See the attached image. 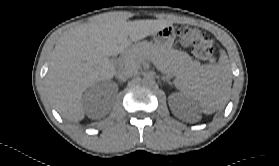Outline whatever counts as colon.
Returning a JSON list of instances; mask_svg holds the SVG:
<instances>
[{"label":"colon","mask_w":279,"mask_h":166,"mask_svg":"<svg viewBox=\"0 0 279 166\" xmlns=\"http://www.w3.org/2000/svg\"><path fill=\"white\" fill-rule=\"evenodd\" d=\"M178 36L181 43L191 50L195 58L204 62H214L213 44L198 28L182 26L178 29Z\"/></svg>","instance_id":"obj_1"}]
</instances>
